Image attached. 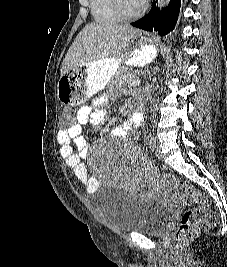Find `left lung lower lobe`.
<instances>
[{"mask_svg": "<svg viewBox=\"0 0 227 267\" xmlns=\"http://www.w3.org/2000/svg\"><path fill=\"white\" fill-rule=\"evenodd\" d=\"M179 8L180 0H171L166 10L160 11L157 10L154 0L149 13L142 19L131 23V25L146 31L155 30L159 35L164 36L174 28Z\"/></svg>", "mask_w": 227, "mask_h": 267, "instance_id": "obj_1", "label": "left lung lower lobe"}]
</instances>
